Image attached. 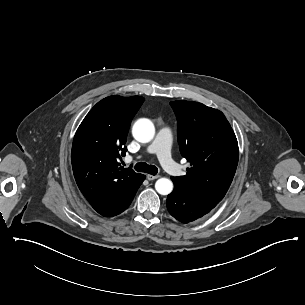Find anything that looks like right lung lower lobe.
<instances>
[{"mask_svg":"<svg viewBox=\"0 0 305 305\" xmlns=\"http://www.w3.org/2000/svg\"><path fill=\"white\" fill-rule=\"evenodd\" d=\"M144 179H145V175H142L141 181L139 184L136 185V187H134L132 190L128 191L126 194H124L122 197L118 198L113 203H111L103 208H100L96 211L104 217L116 216V215L122 213L131 204L138 188L140 187V185L142 184Z\"/></svg>","mask_w":305,"mask_h":305,"instance_id":"right-lung-lower-lobe-1","label":"right lung lower lobe"}]
</instances>
